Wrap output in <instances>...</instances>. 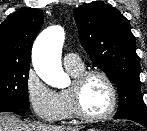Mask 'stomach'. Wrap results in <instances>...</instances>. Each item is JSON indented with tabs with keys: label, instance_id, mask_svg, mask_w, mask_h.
Returning a JSON list of instances; mask_svg holds the SVG:
<instances>
[{
	"label": "stomach",
	"instance_id": "stomach-1",
	"mask_svg": "<svg viewBox=\"0 0 147 131\" xmlns=\"http://www.w3.org/2000/svg\"><path fill=\"white\" fill-rule=\"evenodd\" d=\"M87 131H100V130L97 129V128H90V129H88Z\"/></svg>",
	"mask_w": 147,
	"mask_h": 131
}]
</instances>
